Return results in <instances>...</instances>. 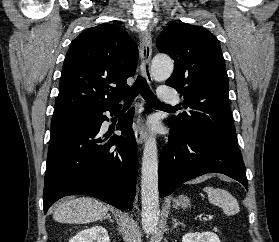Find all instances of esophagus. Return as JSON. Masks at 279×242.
I'll use <instances>...</instances> for the list:
<instances>
[{"mask_svg": "<svg viewBox=\"0 0 279 242\" xmlns=\"http://www.w3.org/2000/svg\"><path fill=\"white\" fill-rule=\"evenodd\" d=\"M140 73L147 80L152 83V76L150 73V59L152 54V38L149 32H142L140 34ZM144 111L143 104H139L138 115L135 121V137L138 144H142L147 136L146 129L142 119Z\"/></svg>", "mask_w": 279, "mask_h": 242, "instance_id": "1", "label": "esophagus"}]
</instances>
